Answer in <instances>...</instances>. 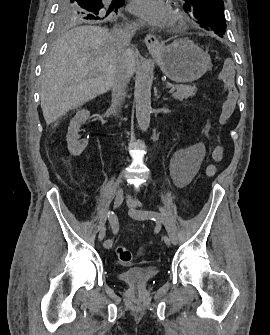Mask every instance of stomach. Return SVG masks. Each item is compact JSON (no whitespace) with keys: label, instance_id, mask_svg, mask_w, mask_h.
I'll return each instance as SVG.
<instances>
[{"label":"stomach","instance_id":"stomach-1","mask_svg":"<svg viewBox=\"0 0 270 335\" xmlns=\"http://www.w3.org/2000/svg\"><path fill=\"white\" fill-rule=\"evenodd\" d=\"M163 74L173 82H194L211 70L212 62L202 48L189 38L174 40L169 46L148 48Z\"/></svg>","mask_w":270,"mask_h":335}]
</instances>
